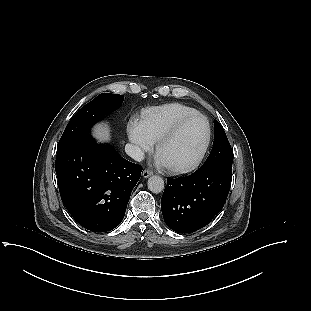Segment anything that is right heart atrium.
<instances>
[{"label":"right heart atrium","mask_w":311,"mask_h":311,"mask_svg":"<svg viewBox=\"0 0 311 311\" xmlns=\"http://www.w3.org/2000/svg\"><path fill=\"white\" fill-rule=\"evenodd\" d=\"M129 141L133 144L136 154L140 155L153 148V142L145 133L143 126L137 119H131L126 127Z\"/></svg>","instance_id":"1"}]
</instances>
